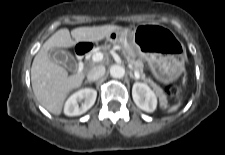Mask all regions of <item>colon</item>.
I'll list each match as a JSON object with an SVG mask.
<instances>
[{"mask_svg": "<svg viewBox=\"0 0 225 155\" xmlns=\"http://www.w3.org/2000/svg\"><path fill=\"white\" fill-rule=\"evenodd\" d=\"M164 88L167 92L179 98L184 88V81L182 79H178L176 81L167 82L165 83Z\"/></svg>", "mask_w": 225, "mask_h": 155, "instance_id": "obj_1", "label": "colon"}]
</instances>
